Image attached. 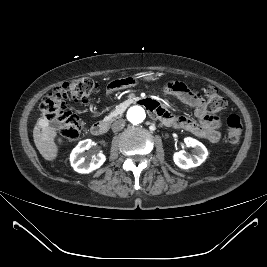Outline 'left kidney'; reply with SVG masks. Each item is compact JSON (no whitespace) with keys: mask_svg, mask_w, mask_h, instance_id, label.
<instances>
[{"mask_svg":"<svg viewBox=\"0 0 267 267\" xmlns=\"http://www.w3.org/2000/svg\"><path fill=\"white\" fill-rule=\"evenodd\" d=\"M184 141L188 147L194 148V154L188 156L185 151L176 152L173 155L175 164L181 169L199 166L208 156L207 148L201 142L191 137L185 138Z\"/></svg>","mask_w":267,"mask_h":267,"instance_id":"1","label":"left kidney"}]
</instances>
